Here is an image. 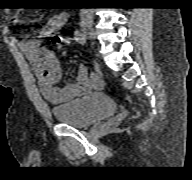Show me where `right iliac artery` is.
Returning a JSON list of instances; mask_svg holds the SVG:
<instances>
[{"label":"right iliac artery","instance_id":"82829eb1","mask_svg":"<svg viewBox=\"0 0 192 180\" xmlns=\"http://www.w3.org/2000/svg\"><path fill=\"white\" fill-rule=\"evenodd\" d=\"M74 39L81 43L84 44L86 42V36L84 33H82L80 30H76L74 33Z\"/></svg>","mask_w":192,"mask_h":180}]
</instances>
